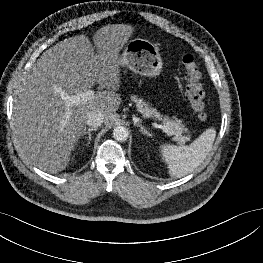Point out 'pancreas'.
I'll return each mask as SVG.
<instances>
[{"label": "pancreas", "instance_id": "1", "mask_svg": "<svg viewBox=\"0 0 263 263\" xmlns=\"http://www.w3.org/2000/svg\"><path fill=\"white\" fill-rule=\"evenodd\" d=\"M131 99L136 103L137 110L143 114L144 117H155L160 119V114L156 109L152 108L149 103L139 99L137 96H131ZM164 124L168 128V134L174 135V140L179 144L184 143L185 141L190 140L191 135L188 133L185 125L182 124L181 120H170L168 118L164 119ZM188 133L186 136H183V133Z\"/></svg>", "mask_w": 263, "mask_h": 263}]
</instances>
